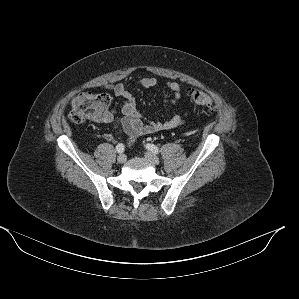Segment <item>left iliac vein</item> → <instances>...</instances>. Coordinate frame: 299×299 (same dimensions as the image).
Returning a JSON list of instances; mask_svg holds the SVG:
<instances>
[{"mask_svg": "<svg viewBox=\"0 0 299 299\" xmlns=\"http://www.w3.org/2000/svg\"><path fill=\"white\" fill-rule=\"evenodd\" d=\"M145 158L149 160L152 164L158 165L160 163L159 159L157 156L152 154L151 152H146L145 153Z\"/></svg>", "mask_w": 299, "mask_h": 299, "instance_id": "left-iliac-vein-1", "label": "left iliac vein"}]
</instances>
